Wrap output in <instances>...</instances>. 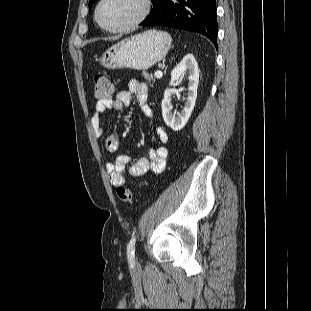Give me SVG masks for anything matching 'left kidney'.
<instances>
[{"mask_svg": "<svg viewBox=\"0 0 311 311\" xmlns=\"http://www.w3.org/2000/svg\"><path fill=\"white\" fill-rule=\"evenodd\" d=\"M185 73L188 77V97L183 110L180 113L172 112L173 106L171 104L172 90L167 88L164 92L162 100V116L164 122L174 131L181 130L189 120L191 113L195 106L197 98V88L199 83V69L198 63L192 54H187L183 57L178 65L171 72V79L169 85H173Z\"/></svg>", "mask_w": 311, "mask_h": 311, "instance_id": "left-kidney-1", "label": "left kidney"}]
</instances>
